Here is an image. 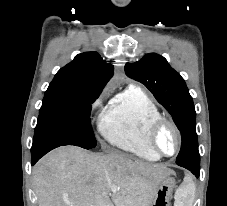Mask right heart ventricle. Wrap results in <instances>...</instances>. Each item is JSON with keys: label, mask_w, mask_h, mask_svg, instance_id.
I'll return each instance as SVG.
<instances>
[{"label": "right heart ventricle", "mask_w": 227, "mask_h": 206, "mask_svg": "<svg viewBox=\"0 0 227 206\" xmlns=\"http://www.w3.org/2000/svg\"><path fill=\"white\" fill-rule=\"evenodd\" d=\"M159 116L155 102L141 89L130 87L109 102L99 130L108 143L139 158L157 161L160 157L149 148L146 133Z\"/></svg>", "instance_id": "obj_1"}]
</instances>
